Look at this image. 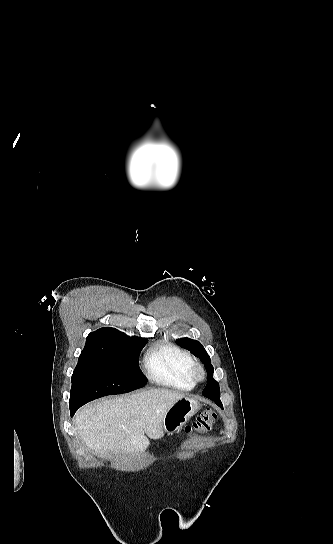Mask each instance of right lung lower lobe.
Segmentation results:
<instances>
[{
  "mask_svg": "<svg viewBox=\"0 0 333 544\" xmlns=\"http://www.w3.org/2000/svg\"><path fill=\"white\" fill-rule=\"evenodd\" d=\"M81 407L79 405H76V406H70V413H71V416L74 415V413L77 411V409Z\"/></svg>",
  "mask_w": 333,
  "mask_h": 544,
  "instance_id": "1",
  "label": "right lung lower lobe"
}]
</instances>
